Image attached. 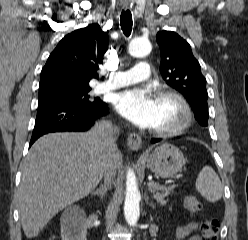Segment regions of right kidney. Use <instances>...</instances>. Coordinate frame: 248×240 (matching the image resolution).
<instances>
[{
  "label": "right kidney",
  "instance_id": "obj_1",
  "mask_svg": "<svg viewBox=\"0 0 248 240\" xmlns=\"http://www.w3.org/2000/svg\"><path fill=\"white\" fill-rule=\"evenodd\" d=\"M62 240H87L86 226L81 223L79 225L61 224Z\"/></svg>",
  "mask_w": 248,
  "mask_h": 240
}]
</instances>
